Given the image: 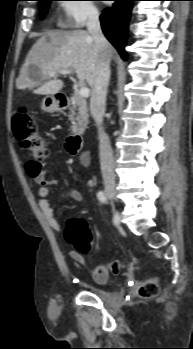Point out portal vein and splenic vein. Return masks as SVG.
Listing matches in <instances>:
<instances>
[{
	"mask_svg": "<svg viewBox=\"0 0 193 349\" xmlns=\"http://www.w3.org/2000/svg\"><path fill=\"white\" fill-rule=\"evenodd\" d=\"M71 73V69H65V70H60L58 72H51L49 75L51 77L57 75V74H62V75H68ZM79 94L82 96V97H88L89 94H90V90L89 88L85 87V86H82L80 87L79 89Z\"/></svg>",
	"mask_w": 193,
	"mask_h": 349,
	"instance_id": "18ae733b",
	"label": "portal vein and splenic vein"
}]
</instances>
